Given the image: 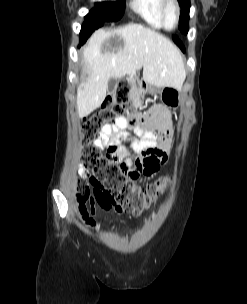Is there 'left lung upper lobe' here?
Instances as JSON below:
<instances>
[{
	"label": "left lung upper lobe",
	"mask_w": 247,
	"mask_h": 304,
	"mask_svg": "<svg viewBox=\"0 0 247 304\" xmlns=\"http://www.w3.org/2000/svg\"><path fill=\"white\" fill-rule=\"evenodd\" d=\"M178 2L181 7L179 29L182 33L186 34L189 29L190 0H178Z\"/></svg>",
	"instance_id": "left-lung-upper-lobe-1"
}]
</instances>
